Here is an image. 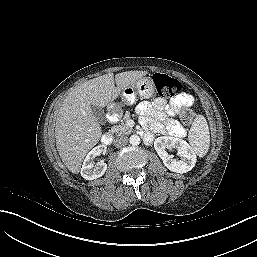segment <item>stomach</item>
I'll list each match as a JSON object with an SVG mask.
<instances>
[{"label": "stomach", "instance_id": "stomach-1", "mask_svg": "<svg viewBox=\"0 0 257 257\" xmlns=\"http://www.w3.org/2000/svg\"><path fill=\"white\" fill-rule=\"evenodd\" d=\"M155 93V85L150 77H143L139 79L134 85L125 88L122 91V99L131 104L135 98L139 96L143 99L153 97Z\"/></svg>", "mask_w": 257, "mask_h": 257}]
</instances>
